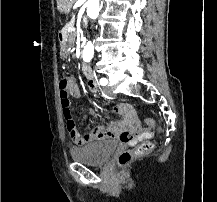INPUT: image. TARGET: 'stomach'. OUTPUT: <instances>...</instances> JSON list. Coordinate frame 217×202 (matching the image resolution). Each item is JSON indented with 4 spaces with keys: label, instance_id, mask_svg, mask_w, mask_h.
I'll use <instances>...</instances> for the list:
<instances>
[{
    "label": "stomach",
    "instance_id": "stomach-1",
    "mask_svg": "<svg viewBox=\"0 0 217 202\" xmlns=\"http://www.w3.org/2000/svg\"><path fill=\"white\" fill-rule=\"evenodd\" d=\"M68 52H67V46H64V48H61V58H67Z\"/></svg>",
    "mask_w": 217,
    "mask_h": 202
}]
</instances>
